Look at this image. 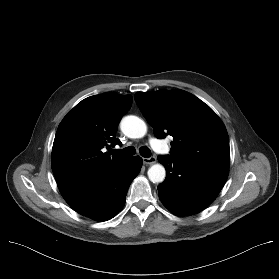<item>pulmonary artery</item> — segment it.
<instances>
[{"label": "pulmonary artery", "mask_w": 279, "mask_h": 279, "mask_svg": "<svg viewBox=\"0 0 279 279\" xmlns=\"http://www.w3.org/2000/svg\"><path fill=\"white\" fill-rule=\"evenodd\" d=\"M152 144L158 153H163V150L161 149V146H163V143L161 141L153 140Z\"/></svg>", "instance_id": "pulmonary-artery-1"}]
</instances>
